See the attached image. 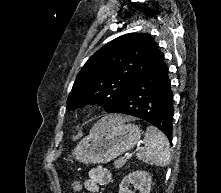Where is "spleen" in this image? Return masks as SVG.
<instances>
[{
	"label": "spleen",
	"mask_w": 221,
	"mask_h": 193,
	"mask_svg": "<svg viewBox=\"0 0 221 193\" xmlns=\"http://www.w3.org/2000/svg\"><path fill=\"white\" fill-rule=\"evenodd\" d=\"M145 149L137 153V158L143 162L165 167L170 162L169 142L166 136L153 126L147 127L144 137Z\"/></svg>",
	"instance_id": "obj_1"
}]
</instances>
